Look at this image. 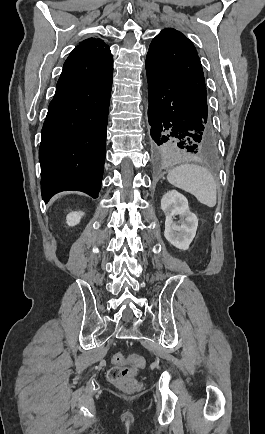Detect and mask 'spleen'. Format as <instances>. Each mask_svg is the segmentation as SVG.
<instances>
[{
	"label": "spleen",
	"instance_id": "1",
	"mask_svg": "<svg viewBox=\"0 0 265 434\" xmlns=\"http://www.w3.org/2000/svg\"><path fill=\"white\" fill-rule=\"evenodd\" d=\"M168 182L193 194L198 202L214 208L217 202L216 182L209 170L197 164H181L168 172Z\"/></svg>",
	"mask_w": 265,
	"mask_h": 434
}]
</instances>
